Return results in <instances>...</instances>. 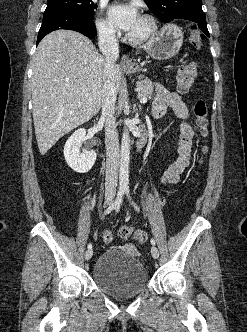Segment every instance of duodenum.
Listing matches in <instances>:
<instances>
[{
	"label": "duodenum",
	"mask_w": 247,
	"mask_h": 332,
	"mask_svg": "<svg viewBox=\"0 0 247 332\" xmlns=\"http://www.w3.org/2000/svg\"><path fill=\"white\" fill-rule=\"evenodd\" d=\"M146 140H147L146 130L142 129L141 134H140V136L138 137V139L136 141V149L138 151H140L144 147V145L146 143Z\"/></svg>",
	"instance_id": "duodenum-1"
}]
</instances>
